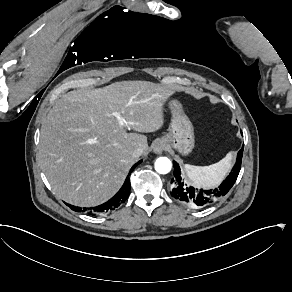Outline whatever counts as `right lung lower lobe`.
I'll return each mask as SVG.
<instances>
[{
    "label": "right lung lower lobe",
    "mask_w": 292,
    "mask_h": 292,
    "mask_svg": "<svg viewBox=\"0 0 292 292\" xmlns=\"http://www.w3.org/2000/svg\"><path fill=\"white\" fill-rule=\"evenodd\" d=\"M142 162L139 161L138 163H136L135 165H133V167L131 168L129 174L134 170V168L140 164ZM130 194V180H129V175L127 176L123 186L121 187V189L117 192V194L112 197L109 201L99 205V206H96V207H93V208H80V207H75L73 205H69L70 208L74 211H82V212H87L88 214L90 215H95V213H98V212H108V211H112L114 210L115 208H117L119 205H121L123 202L126 201V199L128 198ZM66 205H68L66 203Z\"/></svg>",
    "instance_id": "right-lung-lower-lobe-1"
}]
</instances>
